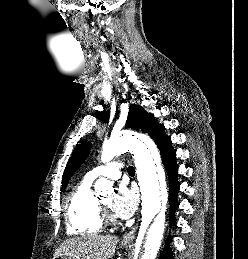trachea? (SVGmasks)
<instances>
[{"mask_svg":"<svg viewBox=\"0 0 248 259\" xmlns=\"http://www.w3.org/2000/svg\"><path fill=\"white\" fill-rule=\"evenodd\" d=\"M128 173H129V174H134V173H135L134 167L129 166V167H128Z\"/></svg>","mask_w":248,"mask_h":259,"instance_id":"trachea-1","label":"trachea"}]
</instances>
